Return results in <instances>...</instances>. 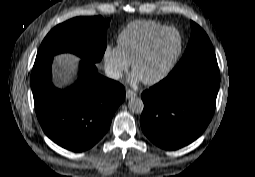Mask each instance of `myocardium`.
Returning <instances> with one entry per match:
<instances>
[{
  "mask_svg": "<svg viewBox=\"0 0 255 177\" xmlns=\"http://www.w3.org/2000/svg\"><path fill=\"white\" fill-rule=\"evenodd\" d=\"M170 31H175L179 36L178 51L174 54V56L170 59V61L167 63V65L163 68V70L157 76H155L152 79L142 80L143 83H145V84H148V85L157 84V83L161 82L162 80H164L168 76V74L170 73V71L172 70V68L174 67V65L176 64V62L178 61V59L180 58V56L183 52L184 40H183V36H182L181 32L177 28L169 26V27H165L164 29L154 33L148 39V41L145 43V45L140 49V51L137 53V55L131 62V69H132V71H134L137 63L147 55V53L149 52V50L151 49L153 44L156 42V40L159 37H161L162 35L170 32Z\"/></svg>",
  "mask_w": 255,
  "mask_h": 177,
  "instance_id": "1",
  "label": "myocardium"
}]
</instances>
